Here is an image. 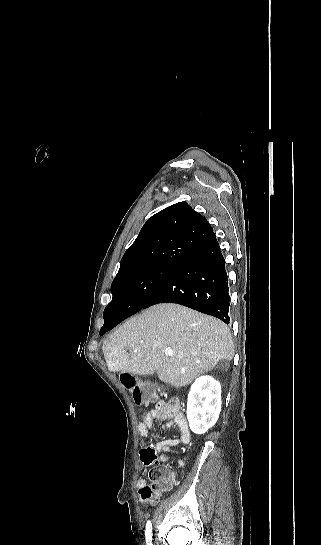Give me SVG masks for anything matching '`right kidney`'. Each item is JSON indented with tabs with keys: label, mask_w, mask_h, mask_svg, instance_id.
Here are the masks:
<instances>
[{
	"label": "right kidney",
	"mask_w": 321,
	"mask_h": 545,
	"mask_svg": "<svg viewBox=\"0 0 321 545\" xmlns=\"http://www.w3.org/2000/svg\"><path fill=\"white\" fill-rule=\"evenodd\" d=\"M221 385L213 377H199L188 395L187 419L196 435H204L217 423L221 411Z\"/></svg>",
	"instance_id": "ca27d5eb"
}]
</instances>
